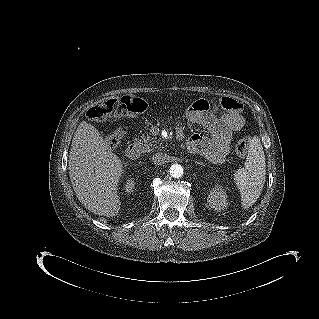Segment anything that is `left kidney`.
Wrapping results in <instances>:
<instances>
[{"instance_id":"left-kidney-1","label":"left kidney","mask_w":319,"mask_h":319,"mask_svg":"<svg viewBox=\"0 0 319 319\" xmlns=\"http://www.w3.org/2000/svg\"><path fill=\"white\" fill-rule=\"evenodd\" d=\"M207 202L211 208L220 211L228 207V199L224 189L215 186L208 195Z\"/></svg>"}]
</instances>
